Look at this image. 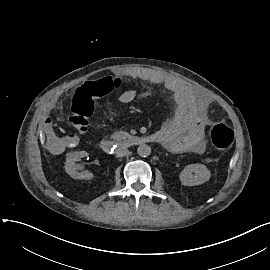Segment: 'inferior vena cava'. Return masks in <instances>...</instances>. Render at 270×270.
Returning a JSON list of instances; mask_svg holds the SVG:
<instances>
[{"instance_id": "inferior-vena-cava-1", "label": "inferior vena cava", "mask_w": 270, "mask_h": 270, "mask_svg": "<svg viewBox=\"0 0 270 270\" xmlns=\"http://www.w3.org/2000/svg\"><path fill=\"white\" fill-rule=\"evenodd\" d=\"M128 153H129L128 149H120V150H118L116 156L123 157V156L127 155Z\"/></svg>"}]
</instances>
